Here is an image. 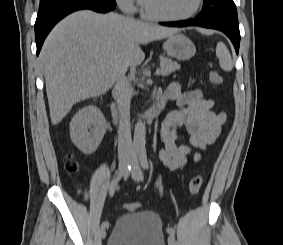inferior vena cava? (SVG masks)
Instances as JSON below:
<instances>
[{
    "mask_svg": "<svg viewBox=\"0 0 283 245\" xmlns=\"http://www.w3.org/2000/svg\"><path fill=\"white\" fill-rule=\"evenodd\" d=\"M119 108L118 156L120 160L133 156V143L130 130V104L132 87L125 73H122L112 92Z\"/></svg>",
    "mask_w": 283,
    "mask_h": 245,
    "instance_id": "obj_1",
    "label": "inferior vena cava"
}]
</instances>
